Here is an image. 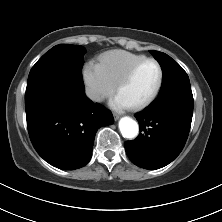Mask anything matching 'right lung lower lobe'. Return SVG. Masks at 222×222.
<instances>
[{
    "label": "right lung lower lobe",
    "instance_id": "98d812e1",
    "mask_svg": "<svg viewBox=\"0 0 222 222\" xmlns=\"http://www.w3.org/2000/svg\"><path fill=\"white\" fill-rule=\"evenodd\" d=\"M27 127L37 153L64 170L85 166L91 159L95 133L112 124V113L84 94L74 104L40 102L25 107Z\"/></svg>",
    "mask_w": 222,
    "mask_h": 222
}]
</instances>
